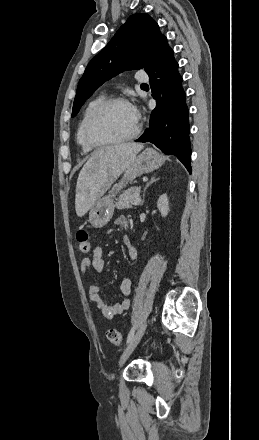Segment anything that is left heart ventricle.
<instances>
[{"label":"left heart ventricle","mask_w":259,"mask_h":440,"mask_svg":"<svg viewBox=\"0 0 259 440\" xmlns=\"http://www.w3.org/2000/svg\"><path fill=\"white\" fill-rule=\"evenodd\" d=\"M137 119L127 104H116L104 112L94 123L92 135L98 140H114L133 132Z\"/></svg>","instance_id":"b2bd125f"}]
</instances>
